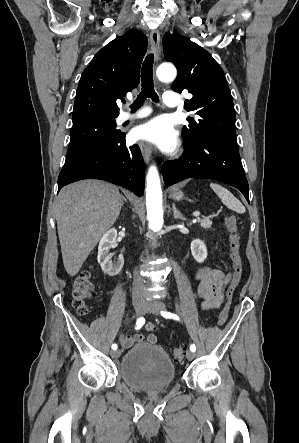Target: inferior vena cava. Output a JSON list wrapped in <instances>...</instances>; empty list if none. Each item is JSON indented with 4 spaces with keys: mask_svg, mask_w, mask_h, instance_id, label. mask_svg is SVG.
Returning a JSON list of instances; mask_svg holds the SVG:
<instances>
[{
    "mask_svg": "<svg viewBox=\"0 0 299 443\" xmlns=\"http://www.w3.org/2000/svg\"><path fill=\"white\" fill-rule=\"evenodd\" d=\"M132 293L136 297H140V296L144 295V293H145L144 282L138 273H135V275H134Z\"/></svg>",
    "mask_w": 299,
    "mask_h": 443,
    "instance_id": "obj_1",
    "label": "inferior vena cava"
}]
</instances>
